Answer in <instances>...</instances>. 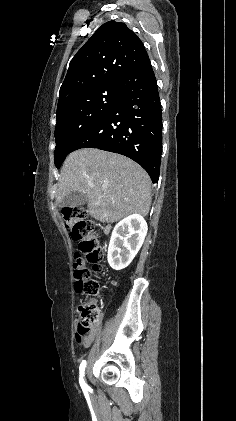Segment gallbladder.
I'll use <instances>...</instances> for the list:
<instances>
[{
    "label": "gallbladder",
    "instance_id": "gallbladder-1",
    "mask_svg": "<svg viewBox=\"0 0 236 421\" xmlns=\"http://www.w3.org/2000/svg\"><path fill=\"white\" fill-rule=\"evenodd\" d=\"M87 202V196L84 192H80V190H74V192H70L67 196H64L62 200H60L58 206L63 208V206H79V204H85Z\"/></svg>",
    "mask_w": 236,
    "mask_h": 421
}]
</instances>
